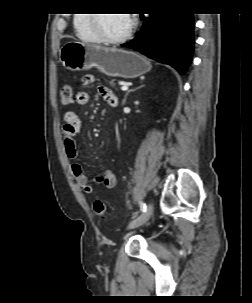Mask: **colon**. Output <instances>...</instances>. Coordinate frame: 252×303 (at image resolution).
<instances>
[{"label": "colon", "mask_w": 252, "mask_h": 303, "mask_svg": "<svg viewBox=\"0 0 252 303\" xmlns=\"http://www.w3.org/2000/svg\"><path fill=\"white\" fill-rule=\"evenodd\" d=\"M60 98L64 105H70L73 102V88L69 83L62 85L60 89ZM93 210L100 218H105L107 215L106 205L102 200H95Z\"/></svg>", "instance_id": "5ec220e1"}]
</instances>
